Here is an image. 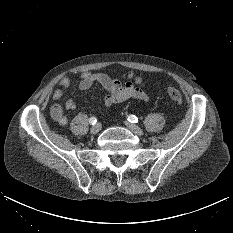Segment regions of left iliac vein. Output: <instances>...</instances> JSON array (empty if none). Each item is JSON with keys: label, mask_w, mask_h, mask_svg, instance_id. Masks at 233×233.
I'll list each match as a JSON object with an SVG mask.
<instances>
[{"label": "left iliac vein", "mask_w": 233, "mask_h": 233, "mask_svg": "<svg viewBox=\"0 0 233 233\" xmlns=\"http://www.w3.org/2000/svg\"><path fill=\"white\" fill-rule=\"evenodd\" d=\"M125 125L133 133H135L137 135H142L143 134V130L140 127H138L137 125L132 124V123L127 122V121L125 122Z\"/></svg>", "instance_id": "1"}]
</instances>
